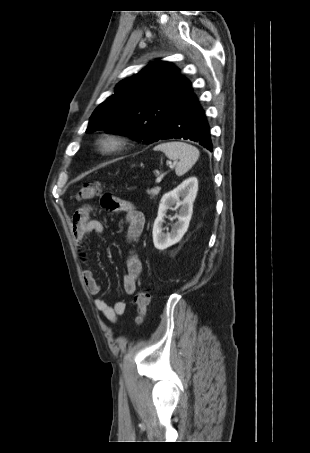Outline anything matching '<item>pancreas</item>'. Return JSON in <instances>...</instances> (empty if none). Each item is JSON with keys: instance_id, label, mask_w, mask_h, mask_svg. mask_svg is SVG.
Here are the masks:
<instances>
[{"instance_id": "pancreas-1", "label": "pancreas", "mask_w": 310, "mask_h": 453, "mask_svg": "<svg viewBox=\"0 0 310 453\" xmlns=\"http://www.w3.org/2000/svg\"><path fill=\"white\" fill-rule=\"evenodd\" d=\"M161 188L160 187H155L152 188L151 190H147V193L151 196L150 198H155L160 192Z\"/></svg>"}]
</instances>
